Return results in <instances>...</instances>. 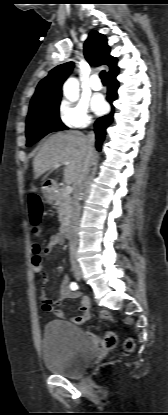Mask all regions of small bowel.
Segmentation results:
<instances>
[{"label":"small bowel","mask_w":168,"mask_h":415,"mask_svg":"<svg viewBox=\"0 0 168 415\" xmlns=\"http://www.w3.org/2000/svg\"><path fill=\"white\" fill-rule=\"evenodd\" d=\"M63 244V238L61 235L54 234L49 238L48 243L44 247L45 253H50L53 251V249L57 246H60ZM80 298L79 301V310L80 314L76 316H72L70 318V321L74 324H83L86 322L90 317V307H89V301L87 297L82 296L79 292H75L71 289L69 279L66 275L62 276L61 286H60V296L57 299H49L45 291L42 290L41 294V300H42V308L46 312H52L57 318L59 319H65L66 314L64 311L60 309H56L55 306L59 305L62 301L66 299H75Z\"/></svg>","instance_id":"obj_1"}]
</instances>
